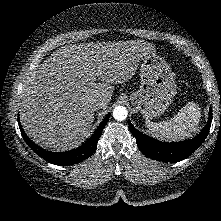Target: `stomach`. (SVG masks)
I'll list each match as a JSON object with an SVG mask.
<instances>
[{"label":"stomach","instance_id":"0dacf381","mask_svg":"<svg viewBox=\"0 0 221 221\" xmlns=\"http://www.w3.org/2000/svg\"><path fill=\"white\" fill-rule=\"evenodd\" d=\"M177 93L170 65L155 53L144 56L140 67V87L130 95L131 104L145 118L162 115Z\"/></svg>","mask_w":221,"mask_h":221}]
</instances>
